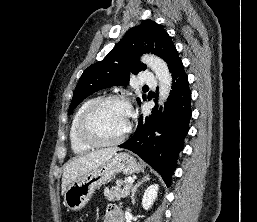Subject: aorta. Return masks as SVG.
<instances>
[{"label": "aorta", "mask_w": 257, "mask_h": 222, "mask_svg": "<svg viewBox=\"0 0 257 222\" xmlns=\"http://www.w3.org/2000/svg\"><path fill=\"white\" fill-rule=\"evenodd\" d=\"M141 61L151 68L159 81L158 104L162 106L169 96L172 85V77L168 66L162 59L151 54L143 55Z\"/></svg>", "instance_id": "762f6f07"}]
</instances>
